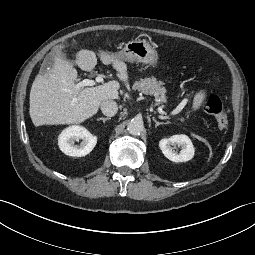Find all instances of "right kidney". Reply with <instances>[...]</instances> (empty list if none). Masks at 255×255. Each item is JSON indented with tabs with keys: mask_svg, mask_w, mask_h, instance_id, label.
I'll return each instance as SVG.
<instances>
[{
	"mask_svg": "<svg viewBox=\"0 0 255 255\" xmlns=\"http://www.w3.org/2000/svg\"><path fill=\"white\" fill-rule=\"evenodd\" d=\"M82 139L78 146L74 141ZM97 143L96 136H93L85 127L72 126L64 129L58 138L60 150L72 157H81L89 154Z\"/></svg>",
	"mask_w": 255,
	"mask_h": 255,
	"instance_id": "right-kidney-1",
	"label": "right kidney"
}]
</instances>
